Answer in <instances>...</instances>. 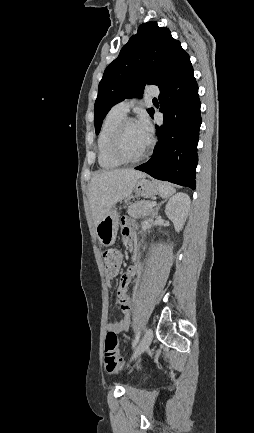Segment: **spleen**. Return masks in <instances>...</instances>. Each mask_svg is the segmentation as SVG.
<instances>
[{
	"label": "spleen",
	"mask_w": 254,
	"mask_h": 433,
	"mask_svg": "<svg viewBox=\"0 0 254 433\" xmlns=\"http://www.w3.org/2000/svg\"><path fill=\"white\" fill-rule=\"evenodd\" d=\"M158 187H159V194L162 197H168L176 192L174 187L171 184L166 182H159Z\"/></svg>",
	"instance_id": "3e777b00"
}]
</instances>
